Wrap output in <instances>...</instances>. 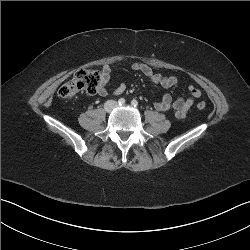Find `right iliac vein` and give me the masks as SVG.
I'll use <instances>...</instances> for the list:
<instances>
[{
	"label": "right iliac vein",
	"instance_id": "right-iliac-vein-1",
	"mask_svg": "<svg viewBox=\"0 0 250 250\" xmlns=\"http://www.w3.org/2000/svg\"><path fill=\"white\" fill-rule=\"evenodd\" d=\"M115 107H116V102H115V101H108V102L105 104V109H106V111H108V112L112 111Z\"/></svg>",
	"mask_w": 250,
	"mask_h": 250
}]
</instances>
